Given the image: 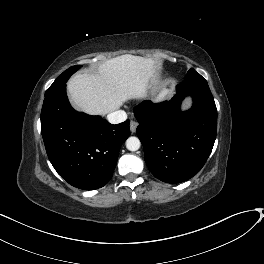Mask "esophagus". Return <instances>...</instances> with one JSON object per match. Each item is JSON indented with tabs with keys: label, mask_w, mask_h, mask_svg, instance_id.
<instances>
[{
	"label": "esophagus",
	"mask_w": 264,
	"mask_h": 264,
	"mask_svg": "<svg viewBox=\"0 0 264 264\" xmlns=\"http://www.w3.org/2000/svg\"><path fill=\"white\" fill-rule=\"evenodd\" d=\"M137 125H138L137 122L131 120V122H130V131L132 133H134L136 131Z\"/></svg>",
	"instance_id": "esophagus-1"
}]
</instances>
